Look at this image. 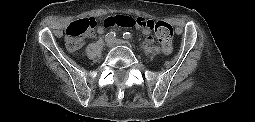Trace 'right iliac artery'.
Listing matches in <instances>:
<instances>
[{"label": "right iliac artery", "instance_id": "1", "mask_svg": "<svg viewBox=\"0 0 255 122\" xmlns=\"http://www.w3.org/2000/svg\"><path fill=\"white\" fill-rule=\"evenodd\" d=\"M115 36H116L115 32H110V33L106 34L105 41L110 42L115 38Z\"/></svg>", "mask_w": 255, "mask_h": 122}]
</instances>
